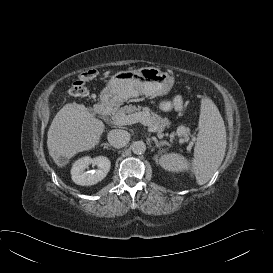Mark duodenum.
<instances>
[{
  "instance_id": "obj_1",
  "label": "duodenum",
  "mask_w": 273,
  "mask_h": 273,
  "mask_svg": "<svg viewBox=\"0 0 273 273\" xmlns=\"http://www.w3.org/2000/svg\"><path fill=\"white\" fill-rule=\"evenodd\" d=\"M108 106L106 104L103 103H99L96 106V112L102 115H106L108 113Z\"/></svg>"
}]
</instances>
